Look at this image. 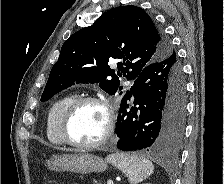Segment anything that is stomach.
<instances>
[{
	"label": "stomach",
	"mask_w": 224,
	"mask_h": 184,
	"mask_svg": "<svg viewBox=\"0 0 224 184\" xmlns=\"http://www.w3.org/2000/svg\"><path fill=\"white\" fill-rule=\"evenodd\" d=\"M47 167L55 171L88 174L104 172L107 169V163L101 157L89 153H78L54 156L47 162Z\"/></svg>",
	"instance_id": "0dacf381"
}]
</instances>
